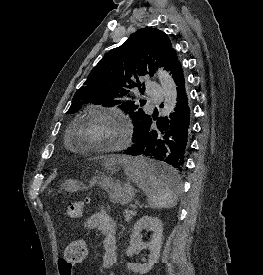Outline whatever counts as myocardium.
<instances>
[{"label": "myocardium", "instance_id": "obj_1", "mask_svg": "<svg viewBox=\"0 0 263 275\" xmlns=\"http://www.w3.org/2000/svg\"><path fill=\"white\" fill-rule=\"evenodd\" d=\"M100 122L107 127V132L102 137H94L89 134L92 124ZM125 128L123 124L106 110H94L85 116L76 129L78 143L90 151L115 150L121 147L125 140Z\"/></svg>", "mask_w": 263, "mask_h": 275}]
</instances>
